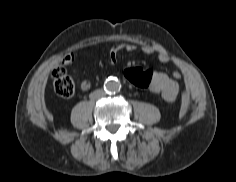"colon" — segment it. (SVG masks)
<instances>
[{
	"mask_svg": "<svg viewBox=\"0 0 236 182\" xmlns=\"http://www.w3.org/2000/svg\"><path fill=\"white\" fill-rule=\"evenodd\" d=\"M126 80L133 86L141 89L150 87L153 75L151 70H144L139 67H130L125 70ZM54 88L57 94L63 97H70L75 92V83L67 74L63 65H58L52 72Z\"/></svg>",
	"mask_w": 236,
	"mask_h": 182,
	"instance_id": "obj_1",
	"label": "colon"
}]
</instances>
